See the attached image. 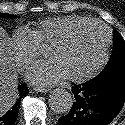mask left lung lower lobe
Here are the masks:
<instances>
[{"mask_svg": "<svg viewBox=\"0 0 125 125\" xmlns=\"http://www.w3.org/2000/svg\"><path fill=\"white\" fill-rule=\"evenodd\" d=\"M75 101L60 125H108L125 101V70L73 87Z\"/></svg>", "mask_w": 125, "mask_h": 125, "instance_id": "0a47b994", "label": "left lung lower lobe"}]
</instances>
